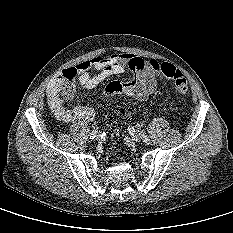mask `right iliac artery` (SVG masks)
<instances>
[{
    "instance_id": "82829eb1",
    "label": "right iliac artery",
    "mask_w": 233,
    "mask_h": 233,
    "mask_svg": "<svg viewBox=\"0 0 233 233\" xmlns=\"http://www.w3.org/2000/svg\"><path fill=\"white\" fill-rule=\"evenodd\" d=\"M98 129V128H97ZM98 131L97 130H93L91 133H90V139H94L97 135Z\"/></svg>"
}]
</instances>
